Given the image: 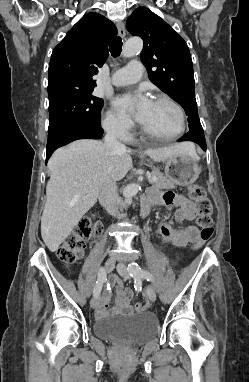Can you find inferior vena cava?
<instances>
[{"label": "inferior vena cava", "mask_w": 249, "mask_h": 382, "mask_svg": "<svg viewBox=\"0 0 249 382\" xmlns=\"http://www.w3.org/2000/svg\"><path fill=\"white\" fill-rule=\"evenodd\" d=\"M104 144L110 150L124 151L126 147L117 139V130L112 127L108 130L104 137ZM100 204L111 215L118 214L117 204L119 202L116 180L108 177L101 187L99 196Z\"/></svg>", "instance_id": "602c4592"}]
</instances>
